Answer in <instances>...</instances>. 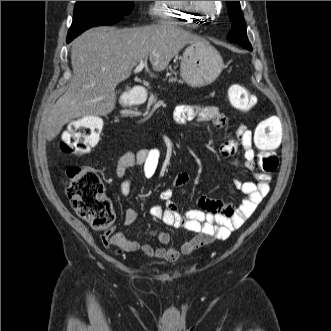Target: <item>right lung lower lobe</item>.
Segmentation results:
<instances>
[{
	"label": "right lung lower lobe",
	"mask_w": 331,
	"mask_h": 331,
	"mask_svg": "<svg viewBox=\"0 0 331 331\" xmlns=\"http://www.w3.org/2000/svg\"><path fill=\"white\" fill-rule=\"evenodd\" d=\"M71 40L70 39H67V42H70Z\"/></svg>",
	"instance_id": "1"
}]
</instances>
